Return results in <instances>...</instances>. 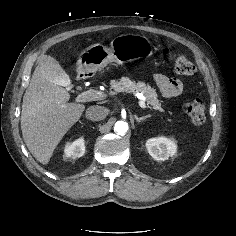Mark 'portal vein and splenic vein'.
<instances>
[{"instance_id": "portal-vein-and-splenic-vein-1", "label": "portal vein and splenic vein", "mask_w": 236, "mask_h": 236, "mask_svg": "<svg viewBox=\"0 0 236 236\" xmlns=\"http://www.w3.org/2000/svg\"><path fill=\"white\" fill-rule=\"evenodd\" d=\"M104 97V94L100 91H96V90H88L85 92L80 93L77 97H76V101L77 102H88V101H96V100H101ZM139 105L141 108L145 109L146 105H145V97L144 96H139Z\"/></svg>"}]
</instances>
